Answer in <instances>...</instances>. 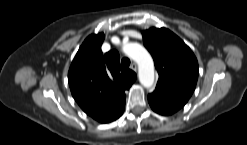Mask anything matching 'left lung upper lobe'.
I'll return each mask as SVG.
<instances>
[{"label":"left lung upper lobe","instance_id":"left-lung-upper-lobe-1","mask_svg":"<svg viewBox=\"0 0 247 145\" xmlns=\"http://www.w3.org/2000/svg\"><path fill=\"white\" fill-rule=\"evenodd\" d=\"M142 34L159 73L156 87L189 99L198 79V62L191 49L166 28H150Z\"/></svg>","mask_w":247,"mask_h":145}]
</instances>
